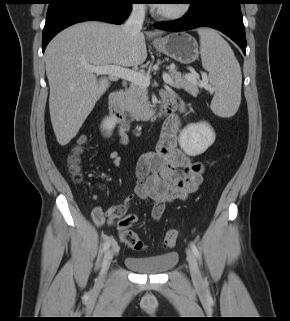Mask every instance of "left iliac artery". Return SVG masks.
<instances>
[{"label":"left iliac artery","mask_w":290,"mask_h":321,"mask_svg":"<svg viewBox=\"0 0 290 321\" xmlns=\"http://www.w3.org/2000/svg\"><path fill=\"white\" fill-rule=\"evenodd\" d=\"M190 246H191V249H192V251L194 252L195 256L200 260V259H201V254H200L197 246H196L193 242H191ZM204 283H205L206 285L208 284L206 278L204 279Z\"/></svg>","instance_id":"44dca946"}]
</instances>
